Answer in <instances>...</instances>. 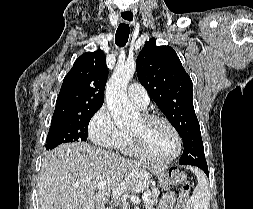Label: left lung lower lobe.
Segmentation results:
<instances>
[{"mask_svg": "<svg viewBox=\"0 0 253 209\" xmlns=\"http://www.w3.org/2000/svg\"><path fill=\"white\" fill-rule=\"evenodd\" d=\"M195 166L201 168L205 172V174L208 176V166H207L206 161H198L196 162Z\"/></svg>", "mask_w": 253, "mask_h": 209, "instance_id": "left-lung-lower-lobe-1", "label": "left lung lower lobe"}]
</instances>
